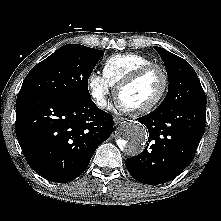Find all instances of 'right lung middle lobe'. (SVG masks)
I'll list each match as a JSON object with an SVG mask.
<instances>
[{
  "label": "right lung middle lobe",
  "instance_id": "obj_1",
  "mask_svg": "<svg viewBox=\"0 0 221 221\" xmlns=\"http://www.w3.org/2000/svg\"><path fill=\"white\" fill-rule=\"evenodd\" d=\"M103 53L79 44L64 45L28 73L19 93L91 100L88 78Z\"/></svg>",
  "mask_w": 221,
  "mask_h": 221
}]
</instances>
